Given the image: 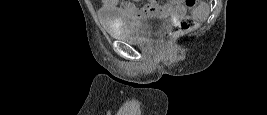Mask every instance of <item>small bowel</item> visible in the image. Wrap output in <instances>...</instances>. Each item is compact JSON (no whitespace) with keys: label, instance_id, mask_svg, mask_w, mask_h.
Returning <instances> with one entry per match:
<instances>
[{"label":"small bowel","instance_id":"1","mask_svg":"<svg viewBox=\"0 0 267 115\" xmlns=\"http://www.w3.org/2000/svg\"><path fill=\"white\" fill-rule=\"evenodd\" d=\"M118 8L121 14L127 19H137L138 17L145 14H161L177 16L182 13L183 6L179 1H169L165 4H160L156 1H149L143 6L139 7L135 2L125 1L118 5L117 1L114 0H103L102 9L109 10Z\"/></svg>","mask_w":267,"mask_h":115}]
</instances>
